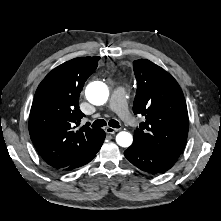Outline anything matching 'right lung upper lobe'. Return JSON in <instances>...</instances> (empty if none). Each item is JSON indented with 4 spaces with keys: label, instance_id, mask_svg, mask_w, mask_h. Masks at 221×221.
<instances>
[{
    "label": "right lung upper lobe",
    "instance_id": "cb5924a9",
    "mask_svg": "<svg viewBox=\"0 0 221 221\" xmlns=\"http://www.w3.org/2000/svg\"><path fill=\"white\" fill-rule=\"evenodd\" d=\"M100 57H79L53 69L38 86L29 116L31 140L44 161L60 170L92 154L102 129L79 127V96Z\"/></svg>",
    "mask_w": 221,
    "mask_h": 221
}]
</instances>
